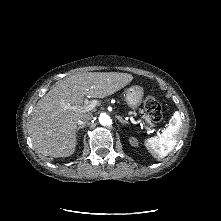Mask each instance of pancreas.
Returning a JSON list of instances; mask_svg holds the SVG:
<instances>
[{
  "mask_svg": "<svg viewBox=\"0 0 221 221\" xmlns=\"http://www.w3.org/2000/svg\"><path fill=\"white\" fill-rule=\"evenodd\" d=\"M142 118L144 119L146 123V129L151 130V128L154 127V123L152 122L151 117L148 114H144Z\"/></svg>",
  "mask_w": 221,
  "mask_h": 221,
  "instance_id": "pancreas-1",
  "label": "pancreas"
}]
</instances>
